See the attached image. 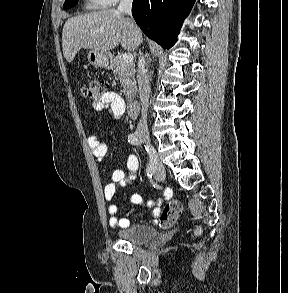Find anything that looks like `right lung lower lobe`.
<instances>
[{"label": "right lung lower lobe", "instance_id": "obj_1", "mask_svg": "<svg viewBox=\"0 0 288 293\" xmlns=\"http://www.w3.org/2000/svg\"><path fill=\"white\" fill-rule=\"evenodd\" d=\"M195 0H133L132 15L141 30L164 49L171 48Z\"/></svg>", "mask_w": 288, "mask_h": 293}]
</instances>
